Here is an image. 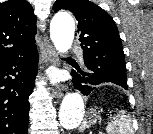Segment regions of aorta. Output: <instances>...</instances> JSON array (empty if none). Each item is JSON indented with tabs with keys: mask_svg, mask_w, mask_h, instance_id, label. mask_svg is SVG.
Wrapping results in <instances>:
<instances>
[{
	"mask_svg": "<svg viewBox=\"0 0 153 134\" xmlns=\"http://www.w3.org/2000/svg\"><path fill=\"white\" fill-rule=\"evenodd\" d=\"M75 23L68 14L56 15L50 25V37L59 53H66L73 42ZM84 116L83 98L78 93L67 94L59 108V121L66 130L76 128Z\"/></svg>",
	"mask_w": 153,
	"mask_h": 134,
	"instance_id": "obj_1",
	"label": "aorta"
}]
</instances>
